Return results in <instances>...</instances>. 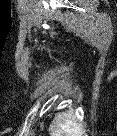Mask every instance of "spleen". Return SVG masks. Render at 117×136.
<instances>
[{
	"mask_svg": "<svg viewBox=\"0 0 117 136\" xmlns=\"http://www.w3.org/2000/svg\"><path fill=\"white\" fill-rule=\"evenodd\" d=\"M83 118L76 112L59 113L49 127L51 136H82Z\"/></svg>",
	"mask_w": 117,
	"mask_h": 136,
	"instance_id": "obj_1",
	"label": "spleen"
}]
</instances>
